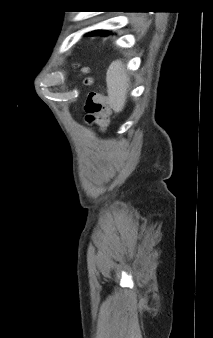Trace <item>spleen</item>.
Wrapping results in <instances>:
<instances>
[{"label": "spleen", "instance_id": "obj_1", "mask_svg": "<svg viewBox=\"0 0 213 338\" xmlns=\"http://www.w3.org/2000/svg\"><path fill=\"white\" fill-rule=\"evenodd\" d=\"M106 82L110 106L116 112L122 111L125 106L129 83L120 60L112 62L109 66L106 73Z\"/></svg>", "mask_w": 213, "mask_h": 338}]
</instances>
